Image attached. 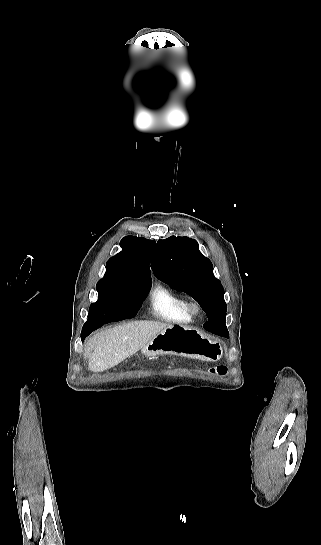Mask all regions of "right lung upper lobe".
Instances as JSON below:
<instances>
[{"mask_svg":"<svg viewBox=\"0 0 321 545\" xmlns=\"http://www.w3.org/2000/svg\"><path fill=\"white\" fill-rule=\"evenodd\" d=\"M155 245V241L142 237H124L120 242L122 251L108 260L102 280L124 288L151 286L149 264Z\"/></svg>","mask_w":321,"mask_h":545,"instance_id":"cb5924a9","label":"right lung upper lobe"}]
</instances>
